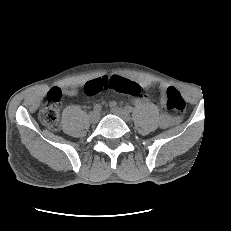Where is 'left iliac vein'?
<instances>
[{"label": "left iliac vein", "instance_id": "4c4485c4", "mask_svg": "<svg viewBox=\"0 0 231 231\" xmlns=\"http://www.w3.org/2000/svg\"><path fill=\"white\" fill-rule=\"evenodd\" d=\"M111 112L117 116H119L120 118H122L124 121H130L131 117L130 114L128 112H126L124 109L122 108H118V107H112L111 108Z\"/></svg>", "mask_w": 231, "mask_h": 231}]
</instances>
